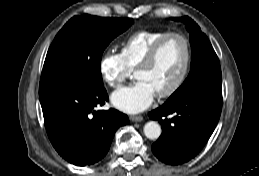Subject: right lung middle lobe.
I'll list each match as a JSON object with an SVG mask.
<instances>
[{
    "mask_svg": "<svg viewBox=\"0 0 259 176\" xmlns=\"http://www.w3.org/2000/svg\"><path fill=\"white\" fill-rule=\"evenodd\" d=\"M133 19L74 16L58 32L44 62L40 86L66 82L102 87L104 49Z\"/></svg>",
    "mask_w": 259,
    "mask_h": 176,
    "instance_id": "obj_1",
    "label": "right lung middle lobe"
}]
</instances>
